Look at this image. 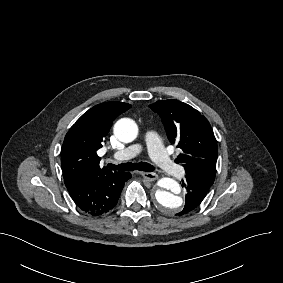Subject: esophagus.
Segmentation results:
<instances>
[{
  "instance_id": "34e87169",
  "label": "esophagus",
  "mask_w": 283,
  "mask_h": 283,
  "mask_svg": "<svg viewBox=\"0 0 283 283\" xmlns=\"http://www.w3.org/2000/svg\"><path fill=\"white\" fill-rule=\"evenodd\" d=\"M148 181H155L158 179V174L154 172H139Z\"/></svg>"
}]
</instances>
